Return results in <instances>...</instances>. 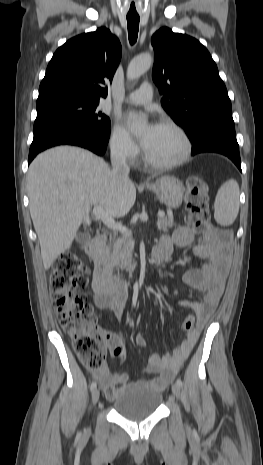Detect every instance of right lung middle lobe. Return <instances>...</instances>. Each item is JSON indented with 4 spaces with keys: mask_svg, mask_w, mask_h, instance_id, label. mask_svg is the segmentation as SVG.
Wrapping results in <instances>:
<instances>
[{
    "mask_svg": "<svg viewBox=\"0 0 263 465\" xmlns=\"http://www.w3.org/2000/svg\"><path fill=\"white\" fill-rule=\"evenodd\" d=\"M99 100L73 96H60L37 101V118L34 134L57 127H74L98 137H108L109 118L97 106Z\"/></svg>",
    "mask_w": 263,
    "mask_h": 465,
    "instance_id": "dd1d6c3e",
    "label": "right lung middle lobe"
}]
</instances>
